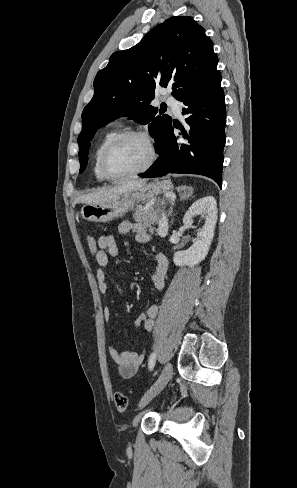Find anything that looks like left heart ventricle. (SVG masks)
Returning a JSON list of instances; mask_svg holds the SVG:
<instances>
[{"label":"left heart ventricle","mask_w":297,"mask_h":488,"mask_svg":"<svg viewBox=\"0 0 297 488\" xmlns=\"http://www.w3.org/2000/svg\"><path fill=\"white\" fill-rule=\"evenodd\" d=\"M149 147L141 138H129L117 145L109 154L107 168L112 175L132 172L145 164Z\"/></svg>","instance_id":"left-heart-ventricle-1"}]
</instances>
